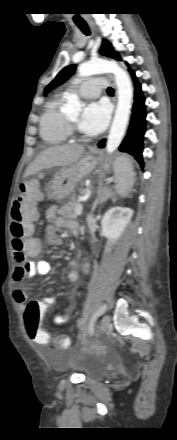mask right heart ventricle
<instances>
[{"instance_id":"e07e8e85","label":"right heart ventricle","mask_w":177,"mask_h":440,"mask_svg":"<svg viewBox=\"0 0 177 440\" xmlns=\"http://www.w3.org/2000/svg\"><path fill=\"white\" fill-rule=\"evenodd\" d=\"M63 96L55 95L45 105L39 122V134L47 145H59L67 141L69 127L62 112Z\"/></svg>"}]
</instances>
